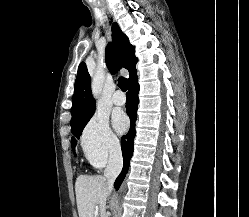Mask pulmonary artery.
<instances>
[{
	"label": "pulmonary artery",
	"instance_id": "e3ab8cb5",
	"mask_svg": "<svg viewBox=\"0 0 249 217\" xmlns=\"http://www.w3.org/2000/svg\"><path fill=\"white\" fill-rule=\"evenodd\" d=\"M112 101L115 105L121 106L125 104L126 98L121 91H116L112 97Z\"/></svg>",
	"mask_w": 249,
	"mask_h": 217
}]
</instances>
